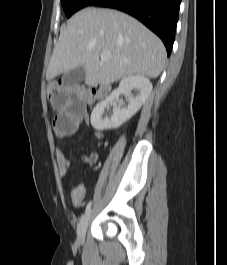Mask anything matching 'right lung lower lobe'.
<instances>
[{"mask_svg": "<svg viewBox=\"0 0 227 265\" xmlns=\"http://www.w3.org/2000/svg\"><path fill=\"white\" fill-rule=\"evenodd\" d=\"M180 3L181 0H93L88 6L115 8L134 16L161 38L169 56Z\"/></svg>", "mask_w": 227, "mask_h": 265, "instance_id": "98d812e1", "label": "right lung lower lobe"}]
</instances>
